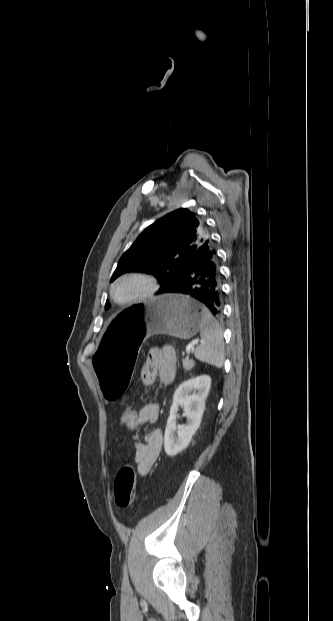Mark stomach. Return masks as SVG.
I'll return each mask as SVG.
<instances>
[{"instance_id":"obj_1","label":"stomach","mask_w":333,"mask_h":621,"mask_svg":"<svg viewBox=\"0 0 333 621\" xmlns=\"http://www.w3.org/2000/svg\"><path fill=\"white\" fill-rule=\"evenodd\" d=\"M206 308L181 294H164L135 304L108 320L94 355L96 380L107 402H122L137 367L144 338L166 334L190 339L199 330Z\"/></svg>"}]
</instances>
